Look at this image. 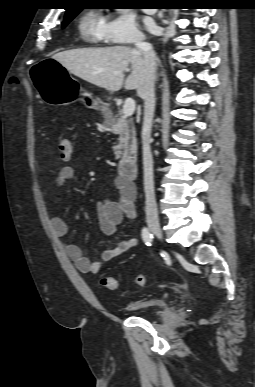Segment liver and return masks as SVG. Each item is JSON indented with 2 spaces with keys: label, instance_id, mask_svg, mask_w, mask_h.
Instances as JSON below:
<instances>
[{
  "label": "liver",
  "instance_id": "1",
  "mask_svg": "<svg viewBox=\"0 0 255 387\" xmlns=\"http://www.w3.org/2000/svg\"><path fill=\"white\" fill-rule=\"evenodd\" d=\"M70 73L113 93L142 89L145 83L143 54L129 46L82 48L53 56ZM131 73L125 79V72Z\"/></svg>",
  "mask_w": 255,
  "mask_h": 387
}]
</instances>
